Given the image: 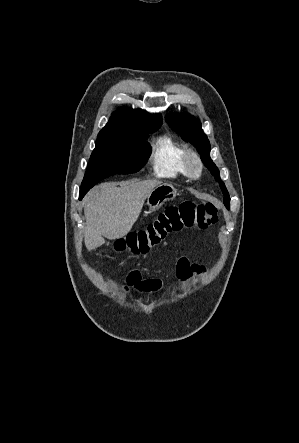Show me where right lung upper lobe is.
Masks as SVG:
<instances>
[{"label":"right lung upper lobe","instance_id":"obj_1","mask_svg":"<svg viewBox=\"0 0 299 443\" xmlns=\"http://www.w3.org/2000/svg\"><path fill=\"white\" fill-rule=\"evenodd\" d=\"M160 114L150 115L141 110L122 107L113 112L107 125L99 132L98 137L117 133L138 132L147 126L161 125Z\"/></svg>","mask_w":299,"mask_h":443}]
</instances>
